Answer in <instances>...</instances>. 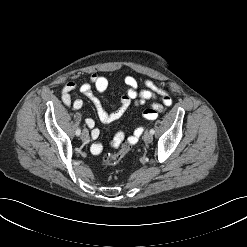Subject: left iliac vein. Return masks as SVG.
Here are the masks:
<instances>
[{
  "label": "left iliac vein",
  "instance_id": "left-iliac-vein-1",
  "mask_svg": "<svg viewBox=\"0 0 247 247\" xmlns=\"http://www.w3.org/2000/svg\"><path fill=\"white\" fill-rule=\"evenodd\" d=\"M143 140L145 143H151L153 140V136L149 131H146L143 135Z\"/></svg>",
  "mask_w": 247,
  "mask_h": 247
}]
</instances>
